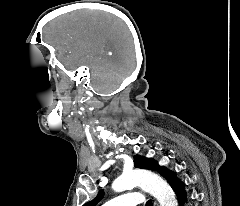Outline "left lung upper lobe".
<instances>
[{
  "label": "left lung upper lobe",
  "instance_id": "obj_1",
  "mask_svg": "<svg viewBox=\"0 0 240 206\" xmlns=\"http://www.w3.org/2000/svg\"><path fill=\"white\" fill-rule=\"evenodd\" d=\"M134 166L136 168H142V169H149L152 171H157L162 176L166 172V168L163 166H160L156 161H154L151 158H145L139 155H136L134 157ZM104 192L103 190L99 191L97 196L92 200L84 204V206H96L99 201L103 198Z\"/></svg>",
  "mask_w": 240,
  "mask_h": 206
}]
</instances>
